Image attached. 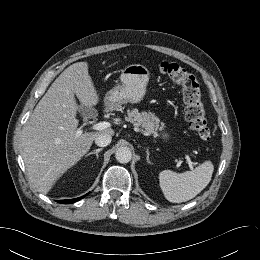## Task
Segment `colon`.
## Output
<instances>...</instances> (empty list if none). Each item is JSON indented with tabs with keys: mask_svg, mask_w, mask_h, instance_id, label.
I'll return each mask as SVG.
<instances>
[{
	"mask_svg": "<svg viewBox=\"0 0 260 260\" xmlns=\"http://www.w3.org/2000/svg\"><path fill=\"white\" fill-rule=\"evenodd\" d=\"M159 69L162 74L181 87L185 103V117L190 128L202 140H209L211 131L197 78L187 69L173 62H162Z\"/></svg>",
	"mask_w": 260,
	"mask_h": 260,
	"instance_id": "colon-1",
	"label": "colon"
}]
</instances>
